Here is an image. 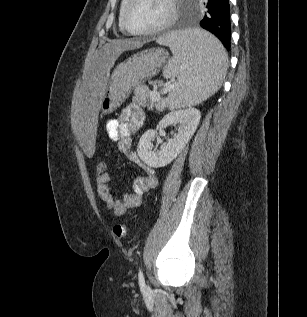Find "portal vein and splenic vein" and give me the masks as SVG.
<instances>
[{
	"label": "portal vein and splenic vein",
	"mask_w": 307,
	"mask_h": 317,
	"mask_svg": "<svg viewBox=\"0 0 307 317\" xmlns=\"http://www.w3.org/2000/svg\"><path fill=\"white\" fill-rule=\"evenodd\" d=\"M176 83H173L171 85L165 86L162 93H167L169 91H171L172 89L175 88ZM150 98L153 101H159L160 100V94L157 90H153L152 92H150Z\"/></svg>",
	"instance_id": "obj_1"
}]
</instances>
